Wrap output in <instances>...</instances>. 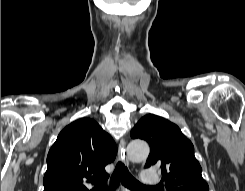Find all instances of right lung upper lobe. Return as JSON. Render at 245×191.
Here are the masks:
<instances>
[{
	"label": "right lung upper lobe",
	"mask_w": 245,
	"mask_h": 191,
	"mask_svg": "<svg viewBox=\"0 0 245 191\" xmlns=\"http://www.w3.org/2000/svg\"><path fill=\"white\" fill-rule=\"evenodd\" d=\"M117 146L112 137L90 118L66 126L47 156L44 191H103ZM91 183L89 190L86 184Z\"/></svg>",
	"instance_id": "obj_1"
}]
</instances>
